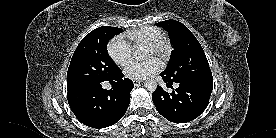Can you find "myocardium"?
<instances>
[{
    "mask_svg": "<svg viewBox=\"0 0 276 138\" xmlns=\"http://www.w3.org/2000/svg\"><path fill=\"white\" fill-rule=\"evenodd\" d=\"M149 46L153 49L154 54L161 59H167L170 55L171 45L166 37L153 41Z\"/></svg>",
    "mask_w": 276,
    "mask_h": 138,
    "instance_id": "1",
    "label": "myocardium"
}]
</instances>
